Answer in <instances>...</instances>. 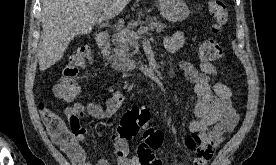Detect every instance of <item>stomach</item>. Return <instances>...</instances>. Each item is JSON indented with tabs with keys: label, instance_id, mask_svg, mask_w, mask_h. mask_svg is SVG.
Masks as SVG:
<instances>
[{
	"label": "stomach",
	"instance_id": "obj_1",
	"mask_svg": "<svg viewBox=\"0 0 276 165\" xmlns=\"http://www.w3.org/2000/svg\"><path fill=\"white\" fill-rule=\"evenodd\" d=\"M161 15L171 22H181L189 15V9L183 0H157Z\"/></svg>",
	"mask_w": 276,
	"mask_h": 165
}]
</instances>
